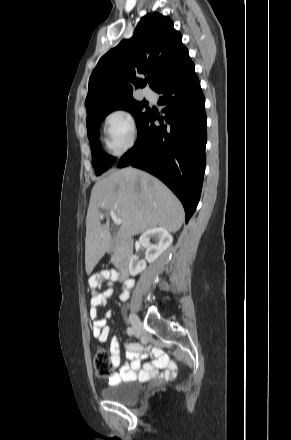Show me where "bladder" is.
<instances>
[{"instance_id": "bladder-1", "label": "bladder", "mask_w": 291, "mask_h": 440, "mask_svg": "<svg viewBox=\"0 0 291 440\" xmlns=\"http://www.w3.org/2000/svg\"><path fill=\"white\" fill-rule=\"evenodd\" d=\"M101 395L109 401L118 404H133L141 397L140 382L131 380L114 386L105 387L101 390Z\"/></svg>"}]
</instances>
